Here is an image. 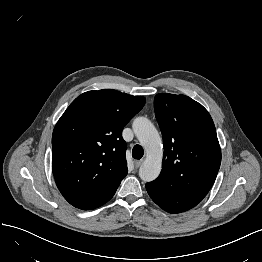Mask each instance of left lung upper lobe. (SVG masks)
Listing matches in <instances>:
<instances>
[{
	"mask_svg": "<svg viewBox=\"0 0 262 262\" xmlns=\"http://www.w3.org/2000/svg\"><path fill=\"white\" fill-rule=\"evenodd\" d=\"M154 108L164 156L161 174L146 190L163 210L181 213L196 206L216 179L221 150L215 125L208 111L185 95L157 94Z\"/></svg>",
	"mask_w": 262,
	"mask_h": 262,
	"instance_id": "1",
	"label": "left lung upper lobe"
}]
</instances>
